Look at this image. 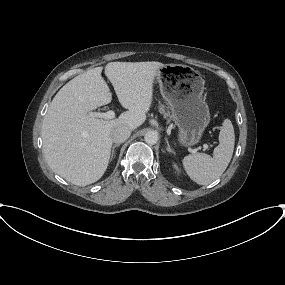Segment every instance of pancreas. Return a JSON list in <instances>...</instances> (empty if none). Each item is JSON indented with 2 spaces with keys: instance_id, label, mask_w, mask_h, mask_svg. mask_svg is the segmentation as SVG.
<instances>
[{
  "instance_id": "cf45deb5",
  "label": "pancreas",
  "mask_w": 285,
  "mask_h": 285,
  "mask_svg": "<svg viewBox=\"0 0 285 285\" xmlns=\"http://www.w3.org/2000/svg\"><path fill=\"white\" fill-rule=\"evenodd\" d=\"M159 111H160V113H163L165 117H167L169 115L168 113L165 112L163 105L159 106Z\"/></svg>"
}]
</instances>
